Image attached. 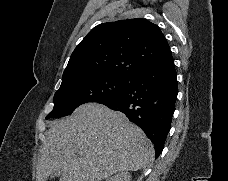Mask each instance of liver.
<instances>
[{"instance_id":"6515ba94","label":"liver","mask_w":228,"mask_h":181,"mask_svg":"<svg viewBox=\"0 0 228 181\" xmlns=\"http://www.w3.org/2000/svg\"><path fill=\"white\" fill-rule=\"evenodd\" d=\"M39 153L36 181L60 173L61 181H102L123 171L150 167L154 147L124 113L85 103L50 123Z\"/></svg>"}]
</instances>
